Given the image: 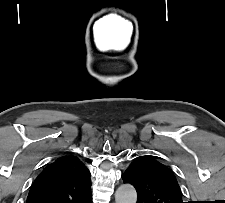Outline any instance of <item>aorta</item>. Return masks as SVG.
<instances>
[{"mask_svg":"<svg viewBox=\"0 0 225 203\" xmlns=\"http://www.w3.org/2000/svg\"><path fill=\"white\" fill-rule=\"evenodd\" d=\"M137 192L130 184H123L118 187L115 193L116 203H136Z\"/></svg>","mask_w":225,"mask_h":203,"instance_id":"aorta-1","label":"aorta"}]
</instances>
